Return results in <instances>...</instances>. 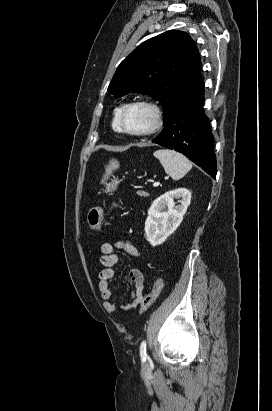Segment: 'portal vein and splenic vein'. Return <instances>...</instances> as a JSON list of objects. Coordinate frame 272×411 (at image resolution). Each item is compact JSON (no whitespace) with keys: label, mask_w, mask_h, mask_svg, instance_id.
I'll use <instances>...</instances> for the list:
<instances>
[{"label":"portal vein and splenic vein","mask_w":272,"mask_h":411,"mask_svg":"<svg viewBox=\"0 0 272 411\" xmlns=\"http://www.w3.org/2000/svg\"><path fill=\"white\" fill-rule=\"evenodd\" d=\"M167 178H168V177H166V179H167ZM159 185H160L159 182H154V183H153V186H154V187H157V186H159Z\"/></svg>","instance_id":"portal-vein-and-splenic-vein-1"}]
</instances>
